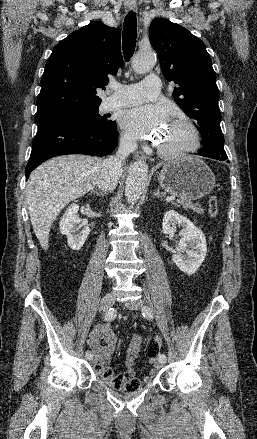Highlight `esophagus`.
<instances>
[{
    "label": "esophagus",
    "instance_id": "34e87169",
    "mask_svg": "<svg viewBox=\"0 0 257 439\" xmlns=\"http://www.w3.org/2000/svg\"><path fill=\"white\" fill-rule=\"evenodd\" d=\"M125 8L127 11H136L137 10L136 1L135 0H126L125 1ZM133 157L136 160H144L145 159V155L140 151L135 152L133 154Z\"/></svg>",
    "mask_w": 257,
    "mask_h": 439
}]
</instances>
